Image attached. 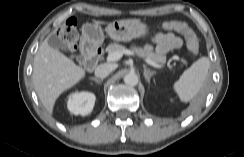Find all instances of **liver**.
I'll return each mask as SVG.
<instances>
[{
    "instance_id": "1",
    "label": "liver",
    "mask_w": 244,
    "mask_h": 157,
    "mask_svg": "<svg viewBox=\"0 0 244 157\" xmlns=\"http://www.w3.org/2000/svg\"><path fill=\"white\" fill-rule=\"evenodd\" d=\"M85 75L82 67L52 48L47 38L40 44L34 57L32 81L41 103L49 114H53L58 97L84 79Z\"/></svg>"
}]
</instances>
